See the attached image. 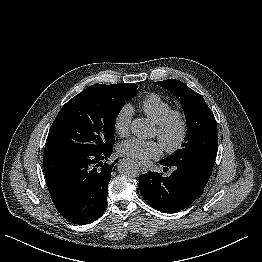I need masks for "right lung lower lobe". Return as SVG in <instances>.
<instances>
[{"label":"right lung lower lobe","mask_w":262,"mask_h":262,"mask_svg":"<svg viewBox=\"0 0 262 262\" xmlns=\"http://www.w3.org/2000/svg\"><path fill=\"white\" fill-rule=\"evenodd\" d=\"M113 147L104 151L45 148L43 163L46 183L56 209L69 222L89 224L107 206L111 170L107 164Z\"/></svg>","instance_id":"98d812e1"}]
</instances>
